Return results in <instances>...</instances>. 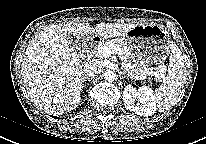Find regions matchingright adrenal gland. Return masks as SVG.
<instances>
[{
	"instance_id": "2a0ac1e0",
	"label": "right adrenal gland",
	"mask_w": 206,
	"mask_h": 144,
	"mask_svg": "<svg viewBox=\"0 0 206 144\" xmlns=\"http://www.w3.org/2000/svg\"><path fill=\"white\" fill-rule=\"evenodd\" d=\"M85 79L90 80V78H85ZM85 79H84V81H85ZM84 81H83V82H84ZM84 87H85V85L83 84V85H82V88H84Z\"/></svg>"
}]
</instances>
